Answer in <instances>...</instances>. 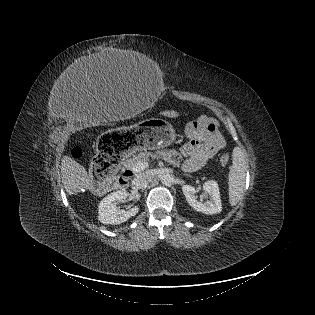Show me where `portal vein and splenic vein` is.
<instances>
[{
  "label": "portal vein and splenic vein",
  "mask_w": 315,
  "mask_h": 315,
  "mask_svg": "<svg viewBox=\"0 0 315 315\" xmlns=\"http://www.w3.org/2000/svg\"><path fill=\"white\" fill-rule=\"evenodd\" d=\"M149 165L147 162H139L135 165V167L133 168V171L138 173L143 171L145 168H147Z\"/></svg>",
  "instance_id": "1"
}]
</instances>
